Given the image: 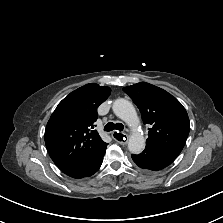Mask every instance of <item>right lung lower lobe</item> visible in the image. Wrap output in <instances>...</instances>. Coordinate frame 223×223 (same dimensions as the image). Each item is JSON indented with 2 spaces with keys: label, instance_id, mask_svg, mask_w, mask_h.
<instances>
[{
  "label": "right lung lower lobe",
  "instance_id": "obj_1",
  "mask_svg": "<svg viewBox=\"0 0 223 223\" xmlns=\"http://www.w3.org/2000/svg\"><path fill=\"white\" fill-rule=\"evenodd\" d=\"M105 150H106V147L88 163L78 168L72 169L69 172H66L65 174H67L68 176L72 178H78V179L93 175L95 172L99 170L102 164Z\"/></svg>",
  "mask_w": 223,
  "mask_h": 223
}]
</instances>
